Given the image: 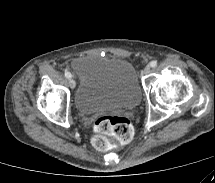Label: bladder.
<instances>
[{
    "instance_id": "obj_1",
    "label": "bladder",
    "mask_w": 215,
    "mask_h": 183,
    "mask_svg": "<svg viewBox=\"0 0 215 183\" xmlns=\"http://www.w3.org/2000/svg\"><path fill=\"white\" fill-rule=\"evenodd\" d=\"M72 69L80 84L74 103L78 111L92 113L111 108H134L141 98L134 66L126 59L88 54L76 57Z\"/></svg>"
}]
</instances>
